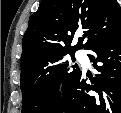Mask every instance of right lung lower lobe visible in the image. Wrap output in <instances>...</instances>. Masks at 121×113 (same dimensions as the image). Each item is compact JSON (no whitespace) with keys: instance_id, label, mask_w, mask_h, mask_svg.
<instances>
[{"instance_id":"1","label":"right lung lower lobe","mask_w":121,"mask_h":113,"mask_svg":"<svg viewBox=\"0 0 121 113\" xmlns=\"http://www.w3.org/2000/svg\"><path fill=\"white\" fill-rule=\"evenodd\" d=\"M89 50L96 54L88 56L99 73L89 77L92 84L81 71L74 75L50 113H121V32Z\"/></svg>"}]
</instances>
